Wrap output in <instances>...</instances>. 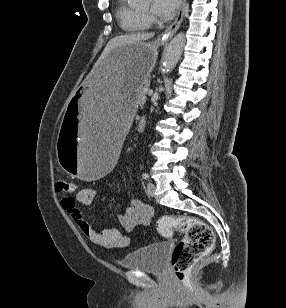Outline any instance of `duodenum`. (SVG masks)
Listing matches in <instances>:
<instances>
[{"label": "duodenum", "mask_w": 286, "mask_h": 308, "mask_svg": "<svg viewBox=\"0 0 286 308\" xmlns=\"http://www.w3.org/2000/svg\"><path fill=\"white\" fill-rule=\"evenodd\" d=\"M145 122H146V120H145L144 118H141V119L139 120L138 127H139V128H142L143 125L145 124Z\"/></svg>", "instance_id": "1"}]
</instances>
